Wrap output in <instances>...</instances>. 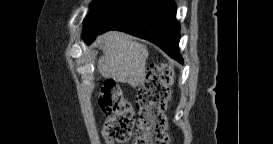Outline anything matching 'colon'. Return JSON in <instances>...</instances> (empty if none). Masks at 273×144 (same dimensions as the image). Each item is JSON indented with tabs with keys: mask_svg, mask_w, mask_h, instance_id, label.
I'll use <instances>...</instances> for the list:
<instances>
[{
	"mask_svg": "<svg viewBox=\"0 0 273 144\" xmlns=\"http://www.w3.org/2000/svg\"><path fill=\"white\" fill-rule=\"evenodd\" d=\"M173 74L169 66L150 69L136 94L138 123L136 144H168L165 109L170 99ZM105 115L102 134L108 143H125L131 137L134 112L114 80H107L99 97Z\"/></svg>",
	"mask_w": 273,
	"mask_h": 144,
	"instance_id": "1",
	"label": "colon"
}]
</instances>
